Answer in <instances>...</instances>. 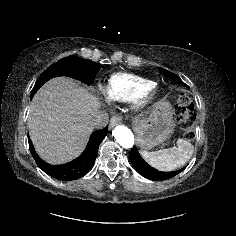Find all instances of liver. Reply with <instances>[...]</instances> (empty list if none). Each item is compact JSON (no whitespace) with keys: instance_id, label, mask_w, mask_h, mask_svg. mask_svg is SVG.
I'll return each instance as SVG.
<instances>
[{"instance_id":"liver-1","label":"liver","mask_w":236,"mask_h":236,"mask_svg":"<svg viewBox=\"0 0 236 236\" xmlns=\"http://www.w3.org/2000/svg\"><path fill=\"white\" fill-rule=\"evenodd\" d=\"M99 106L88 88L69 78L57 77L44 84L35 94L28 116L30 138L40 157L62 164L80 155Z\"/></svg>"}]
</instances>
